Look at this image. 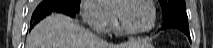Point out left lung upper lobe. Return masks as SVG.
Segmentation results:
<instances>
[{"label": "left lung upper lobe", "mask_w": 213, "mask_h": 48, "mask_svg": "<svg viewBox=\"0 0 213 48\" xmlns=\"http://www.w3.org/2000/svg\"><path fill=\"white\" fill-rule=\"evenodd\" d=\"M163 10V21L172 19L188 22L184 0H159Z\"/></svg>", "instance_id": "1"}]
</instances>
